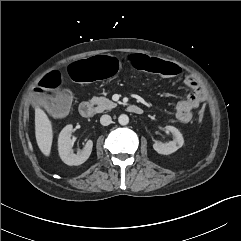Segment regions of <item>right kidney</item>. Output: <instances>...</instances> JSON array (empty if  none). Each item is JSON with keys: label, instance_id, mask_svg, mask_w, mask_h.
Listing matches in <instances>:
<instances>
[{"label": "right kidney", "instance_id": "right-kidney-1", "mask_svg": "<svg viewBox=\"0 0 241 241\" xmlns=\"http://www.w3.org/2000/svg\"><path fill=\"white\" fill-rule=\"evenodd\" d=\"M72 132V125H67L62 129L58 138V151L60 158L65 164L78 166L83 164L89 158L92 152L93 142L88 140L83 150L74 154L72 150V146L74 144V140L71 138Z\"/></svg>", "mask_w": 241, "mask_h": 241}]
</instances>
